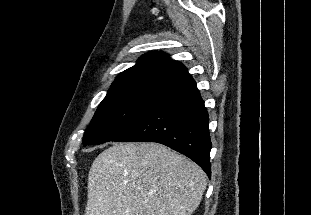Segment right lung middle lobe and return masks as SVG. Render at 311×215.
<instances>
[{
  "instance_id": "1",
  "label": "right lung middle lobe",
  "mask_w": 311,
  "mask_h": 215,
  "mask_svg": "<svg viewBox=\"0 0 311 215\" xmlns=\"http://www.w3.org/2000/svg\"><path fill=\"white\" fill-rule=\"evenodd\" d=\"M169 86L144 84L111 88L84 133V145L105 143L124 134L159 102Z\"/></svg>"
}]
</instances>
